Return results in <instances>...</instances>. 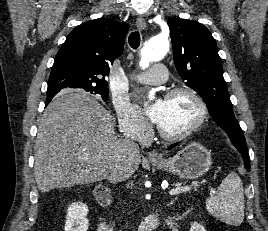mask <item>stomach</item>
<instances>
[{
	"mask_svg": "<svg viewBox=\"0 0 268 231\" xmlns=\"http://www.w3.org/2000/svg\"><path fill=\"white\" fill-rule=\"evenodd\" d=\"M155 168L184 179L202 177L212 165L211 153L199 143L185 146L172 158L152 161Z\"/></svg>",
	"mask_w": 268,
	"mask_h": 231,
	"instance_id": "obj_1",
	"label": "stomach"
}]
</instances>
